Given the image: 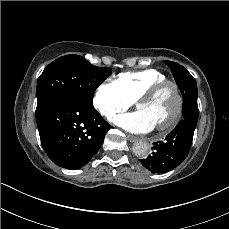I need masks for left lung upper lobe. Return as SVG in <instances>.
<instances>
[{
  "instance_id": "5c2ea615",
  "label": "left lung upper lobe",
  "mask_w": 229,
  "mask_h": 229,
  "mask_svg": "<svg viewBox=\"0 0 229 229\" xmlns=\"http://www.w3.org/2000/svg\"><path fill=\"white\" fill-rule=\"evenodd\" d=\"M165 63L171 68L172 74L179 89L182 92V95L197 92V84L195 79L183 66L172 61H165ZM183 119H185L184 115Z\"/></svg>"
}]
</instances>
